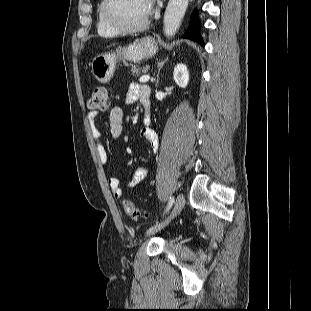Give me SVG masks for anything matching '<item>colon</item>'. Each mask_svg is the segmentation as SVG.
Returning a JSON list of instances; mask_svg holds the SVG:
<instances>
[{"instance_id": "obj_1", "label": "colon", "mask_w": 311, "mask_h": 311, "mask_svg": "<svg viewBox=\"0 0 311 311\" xmlns=\"http://www.w3.org/2000/svg\"><path fill=\"white\" fill-rule=\"evenodd\" d=\"M109 107V96L107 90L103 86H97L93 89L91 97L88 101V108L95 111H105ZM125 213L133 219L140 216L135 204L129 199L121 201Z\"/></svg>"}]
</instances>
